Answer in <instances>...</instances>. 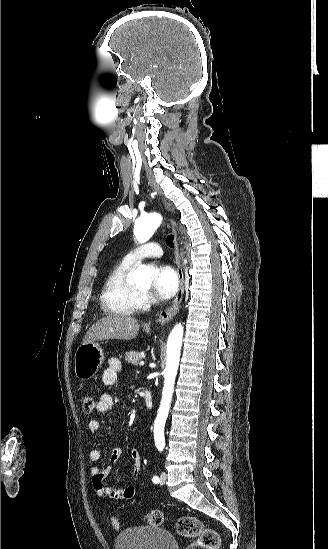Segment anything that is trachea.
Returning <instances> with one entry per match:
<instances>
[{
	"mask_svg": "<svg viewBox=\"0 0 328 549\" xmlns=\"http://www.w3.org/2000/svg\"><path fill=\"white\" fill-rule=\"evenodd\" d=\"M166 243L171 249L174 248V236L172 234L167 236Z\"/></svg>",
	"mask_w": 328,
	"mask_h": 549,
	"instance_id": "3493384b",
	"label": "trachea"
}]
</instances>
